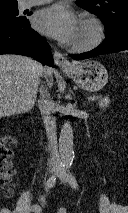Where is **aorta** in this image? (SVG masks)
Returning <instances> with one entry per match:
<instances>
[{"label":"aorta","mask_w":128,"mask_h":213,"mask_svg":"<svg viewBox=\"0 0 128 213\" xmlns=\"http://www.w3.org/2000/svg\"><path fill=\"white\" fill-rule=\"evenodd\" d=\"M73 129L69 121L64 122L59 137V153L61 164L70 167L74 160Z\"/></svg>","instance_id":"762f6f07"}]
</instances>
